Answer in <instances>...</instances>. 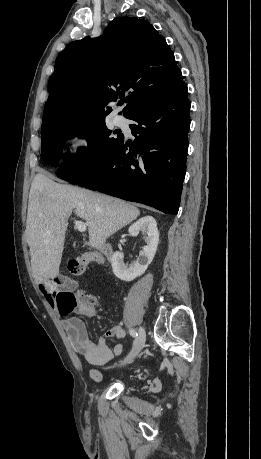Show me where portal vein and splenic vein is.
I'll use <instances>...</instances> for the list:
<instances>
[{"label":"portal vein and splenic vein","instance_id":"portal-vein-and-splenic-vein-1","mask_svg":"<svg viewBox=\"0 0 261 459\" xmlns=\"http://www.w3.org/2000/svg\"><path fill=\"white\" fill-rule=\"evenodd\" d=\"M75 228L80 232H85L87 229V224L78 220H74Z\"/></svg>","mask_w":261,"mask_h":459}]
</instances>
